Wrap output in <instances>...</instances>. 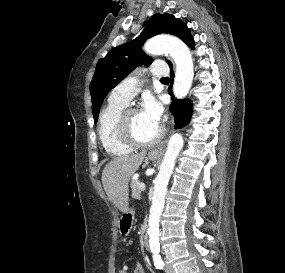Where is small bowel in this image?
Instances as JSON below:
<instances>
[{
    "label": "small bowel",
    "instance_id": "obj_1",
    "mask_svg": "<svg viewBox=\"0 0 285 273\" xmlns=\"http://www.w3.org/2000/svg\"><path fill=\"white\" fill-rule=\"evenodd\" d=\"M126 273H130V272L126 269ZM132 273H146V272H145L143 265L140 262H136L134 264Z\"/></svg>",
    "mask_w": 285,
    "mask_h": 273
}]
</instances>
